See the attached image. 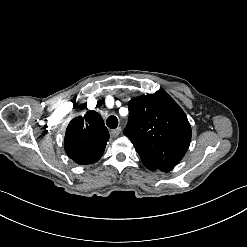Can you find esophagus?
<instances>
[{
  "instance_id": "esophagus-1",
  "label": "esophagus",
  "mask_w": 247,
  "mask_h": 247,
  "mask_svg": "<svg viewBox=\"0 0 247 247\" xmlns=\"http://www.w3.org/2000/svg\"><path fill=\"white\" fill-rule=\"evenodd\" d=\"M121 130H122L121 127H118L115 130H112L111 131V136L113 138H116L121 133Z\"/></svg>"
}]
</instances>
